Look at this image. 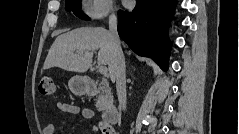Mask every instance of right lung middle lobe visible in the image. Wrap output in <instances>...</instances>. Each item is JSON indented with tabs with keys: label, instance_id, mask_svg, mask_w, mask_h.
I'll list each match as a JSON object with an SVG mask.
<instances>
[{
	"label": "right lung middle lobe",
	"instance_id": "dd1d6c3e",
	"mask_svg": "<svg viewBox=\"0 0 239 134\" xmlns=\"http://www.w3.org/2000/svg\"><path fill=\"white\" fill-rule=\"evenodd\" d=\"M66 9L72 10L79 18L90 20L84 13L81 12L80 0H66Z\"/></svg>",
	"mask_w": 239,
	"mask_h": 134
}]
</instances>
